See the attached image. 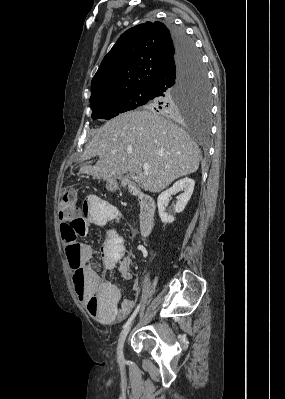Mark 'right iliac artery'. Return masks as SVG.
Segmentation results:
<instances>
[{
  "label": "right iliac artery",
  "instance_id": "82829eb1",
  "mask_svg": "<svg viewBox=\"0 0 285 399\" xmlns=\"http://www.w3.org/2000/svg\"><path fill=\"white\" fill-rule=\"evenodd\" d=\"M141 304H138L137 308L135 309V311L133 312V314L131 315V317L126 321V323L123 325V329H125L126 327L129 326V324L132 322V320L135 318V316L137 315L139 309H140Z\"/></svg>",
  "mask_w": 285,
  "mask_h": 399
}]
</instances>
